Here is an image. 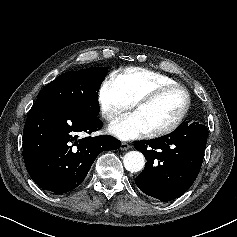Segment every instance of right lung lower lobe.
<instances>
[{
  "mask_svg": "<svg viewBox=\"0 0 237 237\" xmlns=\"http://www.w3.org/2000/svg\"><path fill=\"white\" fill-rule=\"evenodd\" d=\"M102 126L98 116L35 102L23 130V159L32 180L56 194L79 186L101 152L120 147L121 142L112 136L79 137Z\"/></svg>",
  "mask_w": 237,
  "mask_h": 237,
  "instance_id": "1",
  "label": "right lung lower lobe"
}]
</instances>
